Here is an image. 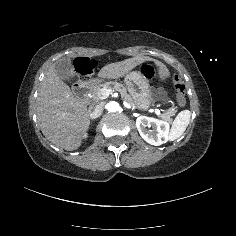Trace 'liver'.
<instances>
[{
    "label": "liver",
    "instance_id": "liver-1",
    "mask_svg": "<svg viewBox=\"0 0 236 236\" xmlns=\"http://www.w3.org/2000/svg\"><path fill=\"white\" fill-rule=\"evenodd\" d=\"M145 61H154L161 69L164 67L149 56H136L105 65L98 77L119 78ZM36 110L41 131L49 141L68 151L81 145L90 124L87 102L74 97L69 86L57 76L54 64L40 84Z\"/></svg>",
    "mask_w": 236,
    "mask_h": 236
}]
</instances>
